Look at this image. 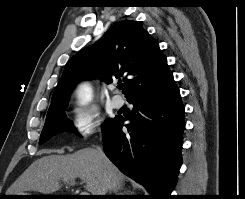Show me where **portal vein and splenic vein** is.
Masks as SVG:
<instances>
[{
	"label": "portal vein and splenic vein",
	"mask_w": 245,
	"mask_h": 199,
	"mask_svg": "<svg viewBox=\"0 0 245 199\" xmlns=\"http://www.w3.org/2000/svg\"><path fill=\"white\" fill-rule=\"evenodd\" d=\"M81 195H89L87 192H83Z\"/></svg>",
	"instance_id": "18ae733b"
}]
</instances>
